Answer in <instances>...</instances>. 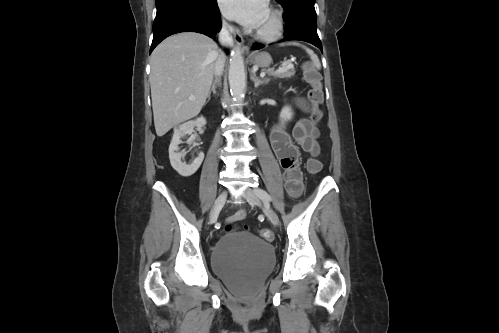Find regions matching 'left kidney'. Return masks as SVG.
<instances>
[{
    "label": "left kidney",
    "instance_id": "obj_1",
    "mask_svg": "<svg viewBox=\"0 0 499 333\" xmlns=\"http://www.w3.org/2000/svg\"><path fill=\"white\" fill-rule=\"evenodd\" d=\"M292 116H293L292 108L288 105L282 108L279 115L282 124L287 121H290L292 119Z\"/></svg>",
    "mask_w": 499,
    "mask_h": 333
}]
</instances>
